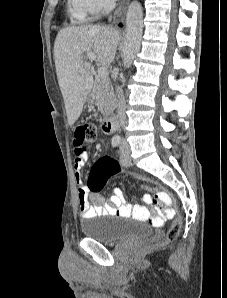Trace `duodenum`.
<instances>
[{"label": "duodenum", "mask_w": 227, "mask_h": 298, "mask_svg": "<svg viewBox=\"0 0 227 298\" xmlns=\"http://www.w3.org/2000/svg\"><path fill=\"white\" fill-rule=\"evenodd\" d=\"M117 127L116 116L114 114H109L102 126L103 132L106 134H111L115 131Z\"/></svg>", "instance_id": "1"}]
</instances>
